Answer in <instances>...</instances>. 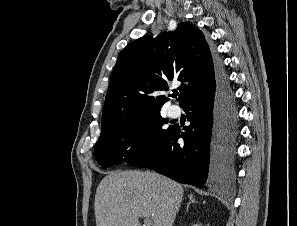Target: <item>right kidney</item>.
I'll return each instance as SVG.
<instances>
[{
    "mask_svg": "<svg viewBox=\"0 0 297 226\" xmlns=\"http://www.w3.org/2000/svg\"><path fill=\"white\" fill-rule=\"evenodd\" d=\"M193 226H200V225H198V224H195V225H193Z\"/></svg>",
    "mask_w": 297,
    "mask_h": 226,
    "instance_id": "right-kidney-1",
    "label": "right kidney"
}]
</instances>
